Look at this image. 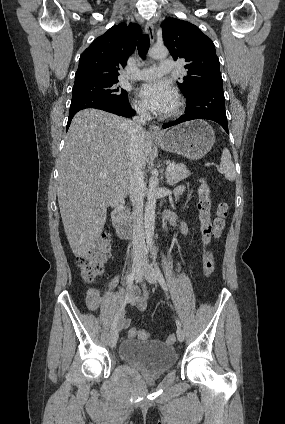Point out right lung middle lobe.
Here are the masks:
<instances>
[{
    "label": "right lung middle lobe",
    "mask_w": 285,
    "mask_h": 424,
    "mask_svg": "<svg viewBox=\"0 0 285 424\" xmlns=\"http://www.w3.org/2000/svg\"><path fill=\"white\" fill-rule=\"evenodd\" d=\"M117 82L118 80L88 81L74 84L72 97L79 95H95L119 102H125L128 100L127 92L117 87Z\"/></svg>",
    "instance_id": "obj_1"
}]
</instances>
